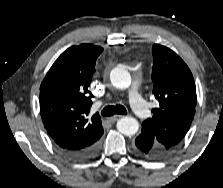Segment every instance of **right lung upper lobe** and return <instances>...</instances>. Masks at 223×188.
I'll return each instance as SVG.
<instances>
[{
	"instance_id": "cb5924a9",
	"label": "right lung upper lobe",
	"mask_w": 223,
	"mask_h": 188,
	"mask_svg": "<svg viewBox=\"0 0 223 188\" xmlns=\"http://www.w3.org/2000/svg\"><path fill=\"white\" fill-rule=\"evenodd\" d=\"M101 47L72 46L54 62L40 86V113L54 143L78 150L103 134L99 114L88 117L92 94L88 90Z\"/></svg>"
}]
</instances>
